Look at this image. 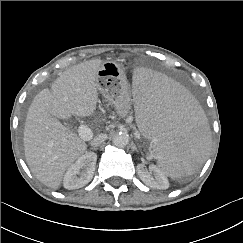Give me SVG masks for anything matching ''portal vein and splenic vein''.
Segmentation results:
<instances>
[{
    "label": "portal vein and splenic vein",
    "mask_w": 243,
    "mask_h": 243,
    "mask_svg": "<svg viewBox=\"0 0 243 243\" xmlns=\"http://www.w3.org/2000/svg\"><path fill=\"white\" fill-rule=\"evenodd\" d=\"M78 134L85 141H88L92 138V131L86 125H80L78 127Z\"/></svg>",
    "instance_id": "obj_1"
}]
</instances>
